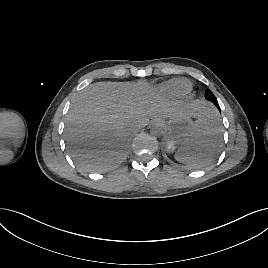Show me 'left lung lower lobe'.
Instances as JSON below:
<instances>
[{
  "label": "left lung lower lobe",
  "instance_id": "1",
  "mask_svg": "<svg viewBox=\"0 0 268 268\" xmlns=\"http://www.w3.org/2000/svg\"><path fill=\"white\" fill-rule=\"evenodd\" d=\"M214 105L220 110V107L218 105V102H215Z\"/></svg>",
  "mask_w": 268,
  "mask_h": 268
}]
</instances>
